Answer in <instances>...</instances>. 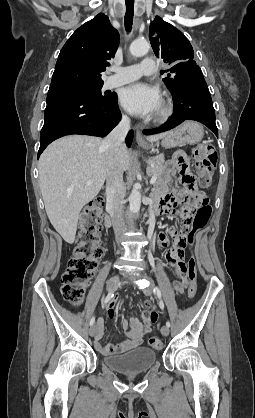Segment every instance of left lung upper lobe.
<instances>
[{
    "label": "left lung upper lobe",
    "instance_id": "obj_1",
    "mask_svg": "<svg viewBox=\"0 0 255 418\" xmlns=\"http://www.w3.org/2000/svg\"><path fill=\"white\" fill-rule=\"evenodd\" d=\"M155 33L156 37H152ZM150 42L155 55L171 66L160 73L166 75L163 81L172 94L187 81L203 76L193 59L194 51L189 40L158 16L150 25Z\"/></svg>",
    "mask_w": 255,
    "mask_h": 418
}]
</instances>
